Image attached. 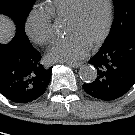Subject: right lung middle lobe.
Instances as JSON below:
<instances>
[{
    "instance_id": "right-lung-middle-lobe-1",
    "label": "right lung middle lobe",
    "mask_w": 135,
    "mask_h": 135,
    "mask_svg": "<svg viewBox=\"0 0 135 135\" xmlns=\"http://www.w3.org/2000/svg\"><path fill=\"white\" fill-rule=\"evenodd\" d=\"M35 0H0V13L10 16L17 28L24 30L27 16Z\"/></svg>"
}]
</instances>
